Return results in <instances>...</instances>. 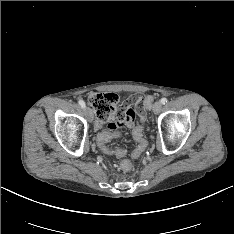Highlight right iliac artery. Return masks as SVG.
I'll list each match as a JSON object with an SVG mask.
<instances>
[{
	"mask_svg": "<svg viewBox=\"0 0 234 234\" xmlns=\"http://www.w3.org/2000/svg\"><path fill=\"white\" fill-rule=\"evenodd\" d=\"M79 105L81 108H85V102L83 100H79Z\"/></svg>",
	"mask_w": 234,
	"mask_h": 234,
	"instance_id": "obj_1",
	"label": "right iliac artery"
}]
</instances>
